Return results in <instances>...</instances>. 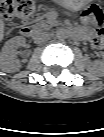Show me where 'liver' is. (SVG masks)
Returning <instances> with one entry per match:
<instances>
[{
  "instance_id": "liver-1",
  "label": "liver",
  "mask_w": 104,
  "mask_h": 137,
  "mask_svg": "<svg viewBox=\"0 0 104 137\" xmlns=\"http://www.w3.org/2000/svg\"><path fill=\"white\" fill-rule=\"evenodd\" d=\"M4 24L1 22V30L3 31Z\"/></svg>"
}]
</instances>
